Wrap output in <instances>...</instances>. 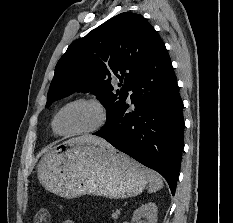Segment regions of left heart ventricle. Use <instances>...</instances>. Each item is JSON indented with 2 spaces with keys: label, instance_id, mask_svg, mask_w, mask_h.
<instances>
[{
  "label": "left heart ventricle",
  "instance_id": "obj_1",
  "mask_svg": "<svg viewBox=\"0 0 233 223\" xmlns=\"http://www.w3.org/2000/svg\"><path fill=\"white\" fill-rule=\"evenodd\" d=\"M101 122L96 106L79 102L68 106L60 115L58 129L64 133H76L94 129Z\"/></svg>",
  "mask_w": 233,
  "mask_h": 223
}]
</instances>
